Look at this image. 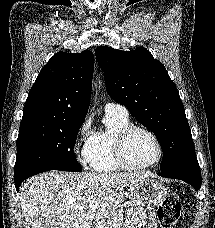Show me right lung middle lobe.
<instances>
[{"mask_svg": "<svg viewBox=\"0 0 215 228\" xmlns=\"http://www.w3.org/2000/svg\"><path fill=\"white\" fill-rule=\"evenodd\" d=\"M83 122H60L20 129L14 174L36 169L81 171L73 149Z\"/></svg>", "mask_w": 215, "mask_h": 228, "instance_id": "dd1d6c3e", "label": "right lung middle lobe"}]
</instances>
